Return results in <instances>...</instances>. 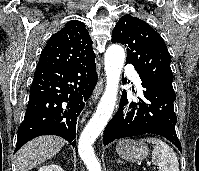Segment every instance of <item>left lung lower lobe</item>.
Returning <instances> with one entry per match:
<instances>
[{"label": "left lung lower lobe", "instance_id": "obj_1", "mask_svg": "<svg viewBox=\"0 0 199 171\" xmlns=\"http://www.w3.org/2000/svg\"><path fill=\"white\" fill-rule=\"evenodd\" d=\"M142 87L144 97L140 99V105L132 102L129 106L131 112L126 118L123 117L122 107L128 100L126 92H122L119 110L105 128L103 144L107 145L115 139L124 137L155 134L165 137L182 152L175 131L177 117L173 103L176 95L144 81Z\"/></svg>", "mask_w": 199, "mask_h": 171}]
</instances>
